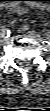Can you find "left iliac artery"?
<instances>
[{
    "label": "left iliac artery",
    "instance_id": "44dca946",
    "mask_svg": "<svg viewBox=\"0 0 50 111\" xmlns=\"http://www.w3.org/2000/svg\"><path fill=\"white\" fill-rule=\"evenodd\" d=\"M44 42H46V43L50 44V42H48V41H44Z\"/></svg>",
    "mask_w": 50,
    "mask_h": 111
}]
</instances>
